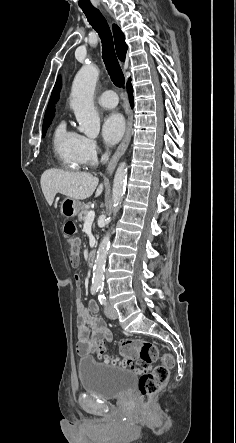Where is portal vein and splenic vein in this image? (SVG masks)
Returning <instances> with one entry per match:
<instances>
[{"mask_svg": "<svg viewBox=\"0 0 236 443\" xmlns=\"http://www.w3.org/2000/svg\"><path fill=\"white\" fill-rule=\"evenodd\" d=\"M95 218V212L93 210L89 211L86 216L85 222H93Z\"/></svg>", "mask_w": 236, "mask_h": 443, "instance_id": "1", "label": "portal vein and splenic vein"}]
</instances>
